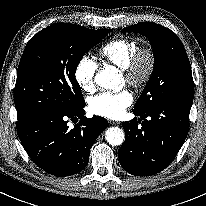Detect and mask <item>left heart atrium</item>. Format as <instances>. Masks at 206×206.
Listing matches in <instances>:
<instances>
[{
    "label": "left heart atrium",
    "mask_w": 206,
    "mask_h": 206,
    "mask_svg": "<svg viewBox=\"0 0 206 206\" xmlns=\"http://www.w3.org/2000/svg\"><path fill=\"white\" fill-rule=\"evenodd\" d=\"M133 100V95L128 90L101 93L91 98L89 109L95 115L108 119H118L123 116Z\"/></svg>",
    "instance_id": "39dd6f15"
}]
</instances>
